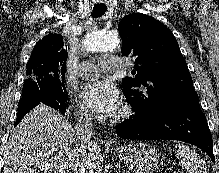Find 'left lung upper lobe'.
I'll list each match as a JSON object with an SVG mask.
<instances>
[{"instance_id":"obj_1","label":"left lung upper lobe","mask_w":219,"mask_h":173,"mask_svg":"<svg viewBox=\"0 0 219 173\" xmlns=\"http://www.w3.org/2000/svg\"><path fill=\"white\" fill-rule=\"evenodd\" d=\"M118 29L123 55L135 58V76L123 79L122 86L136 116L148 118L171 105L198 100L179 45L165 25L135 13L124 17Z\"/></svg>"}]
</instances>
